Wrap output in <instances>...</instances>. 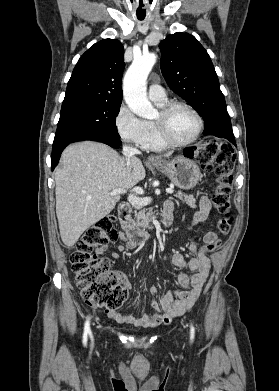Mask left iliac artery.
<instances>
[{
	"label": "left iliac artery",
	"instance_id": "44dca946",
	"mask_svg": "<svg viewBox=\"0 0 279 391\" xmlns=\"http://www.w3.org/2000/svg\"><path fill=\"white\" fill-rule=\"evenodd\" d=\"M191 337H190V339H191V341H193V339H194V333H195V330H194V327L193 326H191Z\"/></svg>",
	"mask_w": 279,
	"mask_h": 391
}]
</instances>
